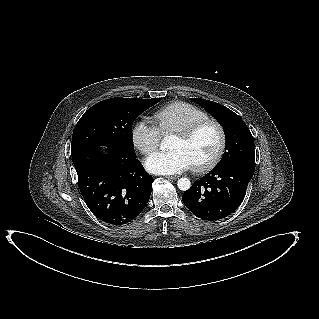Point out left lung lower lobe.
Returning <instances> with one entry per match:
<instances>
[{
  "label": "left lung lower lobe",
  "instance_id": "left-lung-lower-lobe-1",
  "mask_svg": "<svg viewBox=\"0 0 319 319\" xmlns=\"http://www.w3.org/2000/svg\"><path fill=\"white\" fill-rule=\"evenodd\" d=\"M254 170L243 164L213 168L184 192L183 202L201 219L216 221L225 218L242 203Z\"/></svg>",
  "mask_w": 319,
  "mask_h": 319
}]
</instances>
